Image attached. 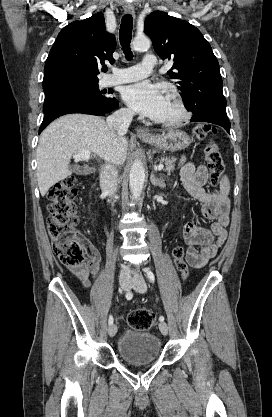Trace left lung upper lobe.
<instances>
[{
    "mask_svg": "<svg viewBox=\"0 0 272 417\" xmlns=\"http://www.w3.org/2000/svg\"><path fill=\"white\" fill-rule=\"evenodd\" d=\"M144 32L156 53L174 62L168 75L183 92L185 107L193 115L228 120L219 63L201 32L189 22L161 11L146 18Z\"/></svg>",
    "mask_w": 272,
    "mask_h": 417,
    "instance_id": "1",
    "label": "left lung upper lobe"
}]
</instances>
